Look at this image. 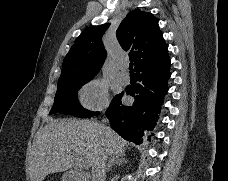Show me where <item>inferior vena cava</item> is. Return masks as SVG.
Returning a JSON list of instances; mask_svg holds the SVG:
<instances>
[{
  "label": "inferior vena cava",
  "mask_w": 228,
  "mask_h": 181,
  "mask_svg": "<svg viewBox=\"0 0 228 181\" xmlns=\"http://www.w3.org/2000/svg\"><path fill=\"white\" fill-rule=\"evenodd\" d=\"M102 123H109L108 119H103ZM104 125H94V135H102ZM108 151H98L92 159V179L93 181H105L106 163Z\"/></svg>",
  "instance_id": "602c4592"
}]
</instances>
